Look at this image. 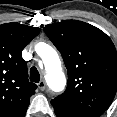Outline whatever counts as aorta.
I'll return each instance as SVG.
<instances>
[{
  "label": "aorta",
  "instance_id": "1",
  "mask_svg": "<svg viewBox=\"0 0 117 117\" xmlns=\"http://www.w3.org/2000/svg\"><path fill=\"white\" fill-rule=\"evenodd\" d=\"M43 61L46 71V80L54 90H61L65 86V75L61 68L60 58L53 47L44 44L37 51Z\"/></svg>",
  "mask_w": 117,
  "mask_h": 117
}]
</instances>
